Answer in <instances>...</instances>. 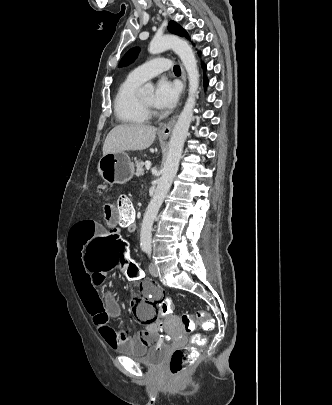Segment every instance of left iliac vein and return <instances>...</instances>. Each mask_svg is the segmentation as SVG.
I'll return each instance as SVG.
<instances>
[{
	"mask_svg": "<svg viewBox=\"0 0 332 405\" xmlns=\"http://www.w3.org/2000/svg\"><path fill=\"white\" fill-rule=\"evenodd\" d=\"M149 272L152 276L157 277L159 275V271L157 266L155 265L154 262H151L149 265Z\"/></svg>",
	"mask_w": 332,
	"mask_h": 405,
	"instance_id": "1",
	"label": "left iliac vein"
}]
</instances>
